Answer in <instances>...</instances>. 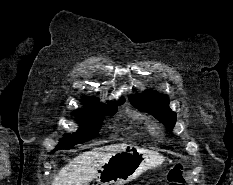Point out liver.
<instances>
[{
    "label": "liver",
    "mask_w": 233,
    "mask_h": 185,
    "mask_svg": "<svg viewBox=\"0 0 233 185\" xmlns=\"http://www.w3.org/2000/svg\"><path fill=\"white\" fill-rule=\"evenodd\" d=\"M126 144H111L79 154L54 177L52 185H89L101 166Z\"/></svg>",
    "instance_id": "1"
}]
</instances>
